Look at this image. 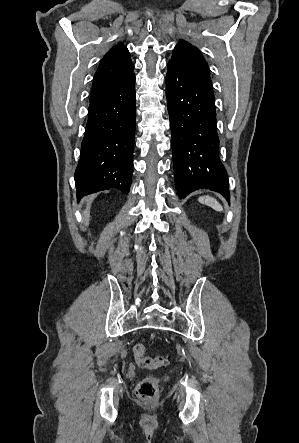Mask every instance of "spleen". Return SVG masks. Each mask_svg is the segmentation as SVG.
Here are the masks:
<instances>
[{
  "mask_svg": "<svg viewBox=\"0 0 299 443\" xmlns=\"http://www.w3.org/2000/svg\"><path fill=\"white\" fill-rule=\"evenodd\" d=\"M198 201L202 204H205L209 207H211L212 209L216 210V211H223V207L221 206V204L214 198L210 197V196H202L199 197Z\"/></svg>",
  "mask_w": 299,
  "mask_h": 443,
  "instance_id": "spleen-1",
  "label": "spleen"
}]
</instances>
